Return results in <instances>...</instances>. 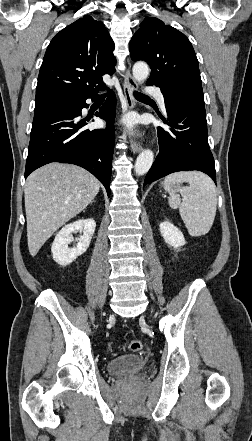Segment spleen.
<instances>
[{"instance_id": "1", "label": "spleen", "mask_w": 252, "mask_h": 441, "mask_svg": "<svg viewBox=\"0 0 252 441\" xmlns=\"http://www.w3.org/2000/svg\"><path fill=\"white\" fill-rule=\"evenodd\" d=\"M186 182L189 186L180 187ZM164 189L170 194L169 205L179 209L181 218L191 236L209 232L216 215V186L206 174L198 171H181L168 175ZM183 197L181 202L180 195Z\"/></svg>"}]
</instances>
